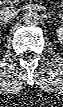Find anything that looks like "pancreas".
I'll return each mask as SVG.
<instances>
[{
    "label": "pancreas",
    "mask_w": 63,
    "mask_h": 107,
    "mask_svg": "<svg viewBox=\"0 0 63 107\" xmlns=\"http://www.w3.org/2000/svg\"><path fill=\"white\" fill-rule=\"evenodd\" d=\"M13 1H8V3H12Z\"/></svg>",
    "instance_id": "obj_1"
}]
</instances>
